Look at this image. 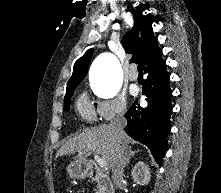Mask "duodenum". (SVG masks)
<instances>
[{
	"label": "duodenum",
	"instance_id": "410a0bca",
	"mask_svg": "<svg viewBox=\"0 0 221 193\" xmlns=\"http://www.w3.org/2000/svg\"><path fill=\"white\" fill-rule=\"evenodd\" d=\"M82 168L90 179L100 183L103 193H115L110 176L101 170L97 164L86 163L82 165Z\"/></svg>",
	"mask_w": 221,
	"mask_h": 193
}]
</instances>
